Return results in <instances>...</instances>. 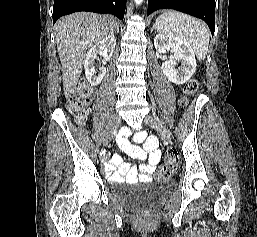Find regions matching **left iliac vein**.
<instances>
[{"mask_svg":"<svg viewBox=\"0 0 257 237\" xmlns=\"http://www.w3.org/2000/svg\"><path fill=\"white\" fill-rule=\"evenodd\" d=\"M145 123L150 127L154 128L164 140H167V141L171 140V135L169 130L164 125V123L158 118L147 116L145 119Z\"/></svg>","mask_w":257,"mask_h":237,"instance_id":"left-iliac-vein-1","label":"left iliac vein"}]
</instances>
